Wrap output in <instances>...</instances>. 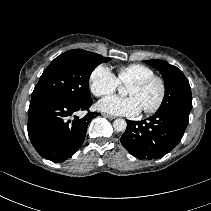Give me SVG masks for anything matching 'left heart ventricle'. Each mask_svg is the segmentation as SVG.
<instances>
[{
  "label": "left heart ventricle",
  "mask_w": 211,
  "mask_h": 211,
  "mask_svg": "<svg viewBox=\"0 0 211 211\" xmlns=\"http://www.w3.org/2000/svg\"><path fill=\"white\" fill-rule=\"evenodd\" d=\"M129 96L135 97L142 110L153 107L160 96V86L157 82H152L145 87L139 88L130 85L127 89Z\"/></svg>",
  "instance_id": "b2bd125f"
}]
</instances>
